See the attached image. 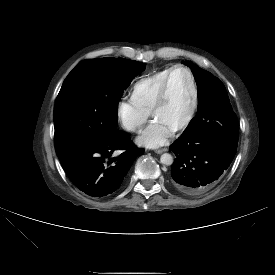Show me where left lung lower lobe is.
<instances>
[{
  "instance_id": "left-lung-lower-lobe-1",
  "label": "left lung lower lobe",
  "mask_w": 275,
  "mask_h": 275,
  "mask_svg": "<svg viewBox=\"0 0 275 275\" xmlns=\"http://www.w3.org/2000/svg\"><path fill=\"white\" fill-rule=\"evenodd\" d=\"M238 140L226 133L179 137L170 149L176 159L172 183L181 192L197 195L211 189L231 164Z\"/></svg>"
}]
</instances>
